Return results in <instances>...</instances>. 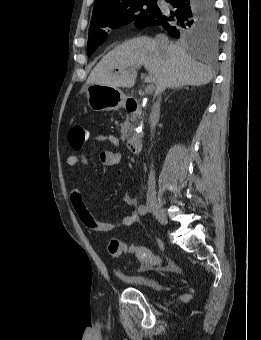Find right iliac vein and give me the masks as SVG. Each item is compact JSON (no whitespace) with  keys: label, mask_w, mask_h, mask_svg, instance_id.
Here are the masks:
<instances>
[{"label":"right iliac vein","mask_w":261,"mask_h":340,"mask_svg":"<svg viewBox=\"0 0 261 340\" xmlns=\"http://www.w3.org/2000/svg\"><path fill=\"white\" fill-rule=\"evenodd\" d=\"M150 212L155 216L159 223L166 225L168 223L167 216L162 207L154 200L147 202Z\"/></svg>","instance_id":"right-iliac-vein-1"}]
</instances>
